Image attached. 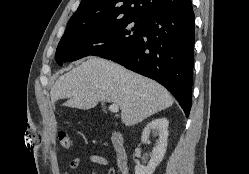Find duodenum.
<instances>
[{
	"label": "duodenum",
	"instance_id": "duodenum-1",
	"mask_svg": "<svg viewBox=\"0 0 249 174\" xmlns=\"http://www.w3.org/2000/svg\"><path fill=\"white\" fill-rule=\"evenodd\" d=\"M112 145L116 154V162L121 174H129L128 157L124 148L123 137L119 131L112 135Z\"/></svg>",
	"mask_w": 249,
	"mask_h": 174
}]
</instances>
